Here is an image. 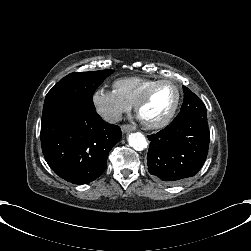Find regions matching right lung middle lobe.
Returning <instances> with one entry per match:
<instances>
[{"label": "right lung middle lobe", "instance_id": "obj_1", "mask_svg": "<svg viewBox=\"0 0 251 251\" xmlns=\"http://www.w3.org/2000/svg\"><path fill=\"white\" fill-rule=\"evenodd\" d=\"M113 72L114 70H100L71 73L62 78L46 95L42 118L56 108L71 103L96 110L93 103V94Z\"/></svg>", "mask_w": 251, "mask_h": 251}]
</instances>
